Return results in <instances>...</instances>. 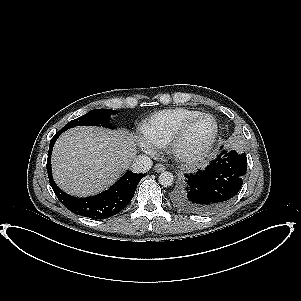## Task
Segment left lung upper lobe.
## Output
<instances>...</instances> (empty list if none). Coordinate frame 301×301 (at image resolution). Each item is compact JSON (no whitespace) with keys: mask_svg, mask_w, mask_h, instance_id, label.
Instances as JSON below:
<instances>
[{"mask_svg":"<svg viewBox=\"0 0 301 301\" xmlns=\"http://www.w3.org/2000/svg\"><path fill=\"white\" fill-rule=\"evenodd\" d=\"M181 187V186H180ZM180 187L173 193L172 195V201L174 202L175 201V193L180 189Z\"/></svg>","mask_w":301,"mask_h":301,"instance_id":"obj_1","label":"left lung upper lobe"}]
</instances>
